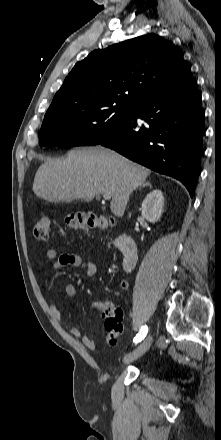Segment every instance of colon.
Segmentation results:
<instances>
[{
	"label": "colon",
	"instance_id": "colon-1",
	"mask_svg": "<svg viewBox=\"0 0 221 440\" xmlns=\"http://www.w3.org/2000/svg\"><path fill=\"white\" fill-rule=\"evenodd\" d=\"M65 224L72 229H106L114 224L112 217L98 215L92 212L76 211L65 216ZM37 240L46 241L50 236V220L47 217L38 219L33 229ZM92 308L105 318L108 343L115 346L122 332L123 312L110 302H95Z\"/></svg>",
	"mask_w": 221,
	"mask_h": 440
}]
</instances>
